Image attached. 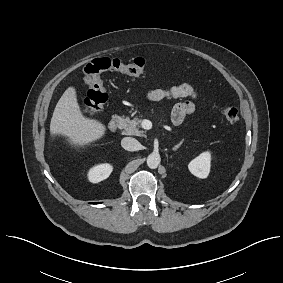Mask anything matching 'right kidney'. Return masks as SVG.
Segmentation results:
<instances>
[{
	"mask_svg": "<svg viewBox=\"0 0 283 283\" xmlns=\"http://www.w3.org/2000/svg\"><path fill=\"white\" fill-rule=\"evenodd\" d=\"M113 168L110 164H100L91 168L88 172V179L92 183L105 180L111 174Z\"/></svg>",
	"mask_w": 283,
	"mask_h": 283,
	"instance_id": "1",
	"label": "right kidney"
}]
</instances>
